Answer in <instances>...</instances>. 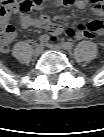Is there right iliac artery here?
Segmentation results:
<instances>
[{
    "instance_id": "right-iliac-artery-1",
    "label": "right iliac artery",
    "mask_w": 104,
    "mask_h": 137,
    "mask_svg": "<svg viewBox=\"0 0 104 137\" xmlns=\"http://www.w3.org/2000/svg\"><path fill=\"white\" fill-rule=\"evenodd\" d=\"M47 36H41L40 38H39V42L40 43H44V42H46L47 41Z\"/></svg>"
}]
</instances>
